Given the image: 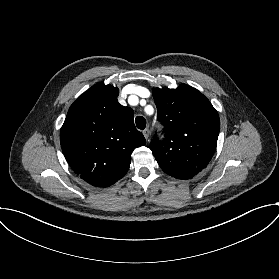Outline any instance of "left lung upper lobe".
<instances>
[{
  "label": "left lung upper lobe",
  "mask_w": 279,
  "mask_h": 279,
  "mask_svg": "<svg viewBox=\"0 0 279 279\" xmlns=\"http://www.w3.org/2000/svg\"><path fill=\"white\" fill-rule=\"evenodd\" d=\"M153 97L165 138L154 136L150 149L165 173L190 179L206 167L216 150L218 113L202 93L186 84L154 88Z\"/></svg>",
  "instance_id": "5c2ea615"
}]
</instances>
